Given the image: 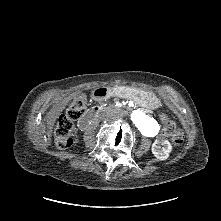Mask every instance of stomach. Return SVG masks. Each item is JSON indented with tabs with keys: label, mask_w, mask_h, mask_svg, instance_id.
I'll list each match as a JSON object with an SVG mask.
<instances>
[{
	"label": "stomach",
	"mask_w": 221,
	"mask_h": 221,
	"mask_svg": "<svg viewBox=\"0 0 221 221\" xmlns=\"http://www.w3.org/2000/svg\"><path fill=\"white\" fill-rule=\"evenodd\" d=\"M120 95L132 97L146 106H153L158 100L153 93L130 87H121Z\"/></svg>",
	"instance_id": "1"
}]
</instances>
